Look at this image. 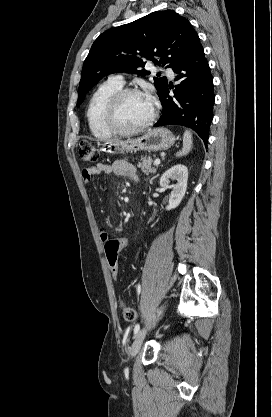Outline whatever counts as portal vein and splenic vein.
Returning <instances> with one entry per match:
<instances>
[{
  "mask_svg": "<svg viewBox=\"0 0 272 417\" xmlns=\"http://www.w3.org/2000/svg\"><path fill=\"white\" fill-rule=\"evenodd\" d=\"M160 164V159H156L155 161H154V165H159Z\"/></svg>",
  "mask_w": 272,
  "mask_h": 417,
  "instance_id": "obj_1",
  "label": "portal vein and splenic vein"
}]
</instances>
